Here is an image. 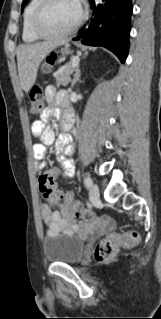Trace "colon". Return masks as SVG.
<instances>
[{
	"label": "colon",
	"instance_id": "5ec220e1",
	"mask_svg": "<svg viewBox=\"0 0 161 319\" xmlns=\"http://www.w3.org/2000/svg\"><path fill=\"white\" fill-rule=\"evenodd\" d=\"M55 63L54 56L49 57L44 68L49 69ZM44 98L41 86L35 84L30 89V113L32 115H41L43 113ZM53 177L45 174L40 180L41 195L43 199L51 201L58 205L62 202L64 194L53 188ZM67 214L70 217L90 220L93 216L86 206L78 202H69L67 204ZM140 243V237L136 232H128L125 234L111 233L106 238L98 242L95 247V257L100 261H110L116 257L121 248L134 247Z\"/></svg>",
	"mask_w": 161,
	"mask_h": 319
}]
</instances>
